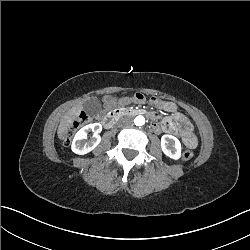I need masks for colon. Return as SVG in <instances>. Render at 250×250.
Returning a JSON list of instances; mask_svg holds the SVG:
<instances>
[{"mask_svg":"<svg viewBox=\"0 0 250 250\" xmlns=\"http://www.w3.org/2000/svg\"><path fill=\"white\" fill-rule=\"evenodd\" d=\"M133 100L138 103H142L146 100V97L142 93H136L133 96ZM150 105H161V100H150ZM102 110L99 109L97 106H92L88 112H80L77 115V119L73 122L72 128L69 129V131H60L58 136L59 139L62 141L64 146L70 145V139L73 138V136L76 134V128H81L85 125H88L92 122H94L97 118V116L100 114ZM186 145L188 147V150L181 154L180 158L181 160H188L190 157L194 156V151L191 150L196 147L197 141L193 138V136L187 138Z\"/></svg>","mask_w":250,"mask_h":250,"instance_id":"colon-1","label":"colon"}]
</instances>
